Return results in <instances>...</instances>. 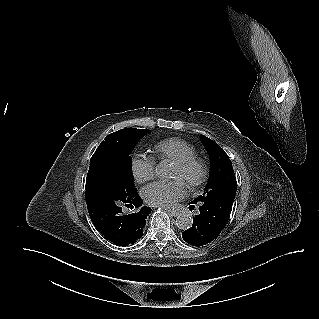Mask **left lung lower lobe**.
Wrapping results in <instances>:
<instances>
[{
    "label": "left lung lower lobe",
    "mask_w": 319,
    "mask_h": 319,
    "mask_svg": "<svg viewBox=\"0 0 319 319\" xmlns=\"http://www.w3.org/2000/svg\"><path fill=\"white\" fill-rule=\"evenodd\" d=\"M234 198L235 194L230 193L199 202L200 213L193 217L192 227L182 233L185 242L202 246L218 237L228 222ZM191 207L194 208V205Z\"/></svg>",
    "instance_id": "obj_1"
}]
</instances>
